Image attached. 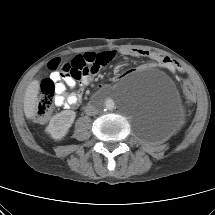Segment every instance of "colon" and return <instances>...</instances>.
I'll list each match as a JSON object with an SVG mask.
<instances>
[{
  "mask_svg": "<svg viewBox=\"0 0 215 215\" xmlns=\"http://www.w3.org/2000/svg\"><path fill=\"white\" fill-rule=\"evenodd\" d=\"M85 65L82 59L77 56L71 62L61 66L58 58L51 60L48 63V68L53 72H61L64 75H72L74 78L79 79L83 72ZM180 88L186 92L185 101L189 105H194L198 101L199 92L193 88V82L189 78H184L180 82ZM55 100V81L52 77L47 78L41 83V91L38 96L35 119L39 122H44L50 116Z\"/></svg>",
  "mask_w": 215,
  "mask_h": 215,
  "instance_id": "colon-1",
  "label": "colon"
}]
</instances>
